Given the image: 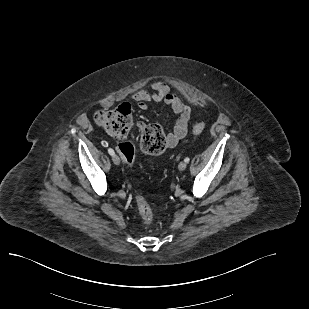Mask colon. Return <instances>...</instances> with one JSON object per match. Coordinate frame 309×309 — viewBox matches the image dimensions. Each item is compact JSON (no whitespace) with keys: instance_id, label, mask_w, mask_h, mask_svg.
I'll use <instances>...</instances> for the list:
<instances>
[{"instance_id":"colon-1","label":"colon","mask_w":309,"mask_h":309,"mask_svg":"<svg viewBox=\"0 0 309 309\" xmlns=\"http://www.w3.org/2000/svg\"><path fill=\"white\" fill-rule=\"evenodd\" d=\"M95 122L108 134L119 140L117 150L124 162L132 165L135 158V148L131 140V135L135 128L134 121L130 114V109L126 105L119 106L111 110H101L95 115ZM140 130V147L147 155H160L167 149V138L158 124H138ZM204 124L194 126L193 133L200 134L204 131ZM138 212L145 224H150L153 220V211L141 194L136 195Z\"/></svg>"}]
</instances>
